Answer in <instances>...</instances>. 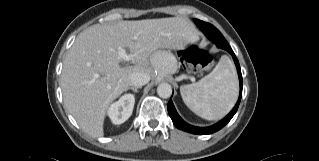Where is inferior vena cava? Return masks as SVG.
Here are the masks:
<instances>
[{
	"instance_id": "inferior-vena-cava-1",
	"label": "inferior vena cava",
	"mask_w": 319,
	"mask_h": 161,
	"mask_svg": "<svg viewBox=\"0 0 319 161\" xmlns=\"http://www.w3.org/2000/svg\"><path fill=\"white\" fill-rule=\"evenodd\" d=\"M150 80V76L144 72H134L130 75V85L134 87H142Z\"/></svg>"
}]
</instances>
